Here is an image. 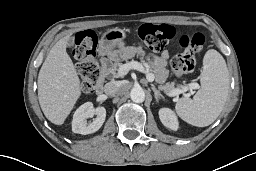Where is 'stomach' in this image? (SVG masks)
<instances>
[{
    "mask_svg": "<svg viewBox=\"0 0 256 171\" xmlns=\"http://www.w3.org/2000/svg\"><path fill=\"white\" fill-rule=\"evenodd\" d=\"M126 32L121 28H112L103 33L99 42V52L101 55H107L111 59L122 58L121 53L116 50L118 45L125 39Z\"/></svg>",
    "mask_w": 256,
    "mask_h": 171,
    "instance_id": "0dacf381",
    "label": "stomach"
}]
</instances>
